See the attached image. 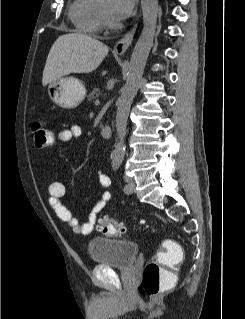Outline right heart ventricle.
I'll return each instance as SVG.
<instances>
[{"mask_svg": "<svg viewBox=\"0 0 245 319\" xmlns=\"http://www.w3.org/2000/svg\"><path fill=\"white\" fill-rule=\"evenodd\" d=\"M101 0H73L69 17L75 27L86 34L95 35L103 28Z\"/></svg>", "mask_w": 245, "mask_h": 319, "instance_id": "1", "label": "right heart ventricle"}]
</instances>
